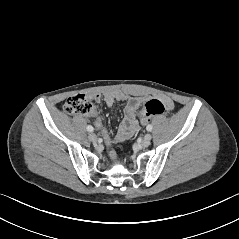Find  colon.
<instances>
[{
    "label": "colon",
    "instance_id": "5ec220e1",
    "mask_svg": "<svg viewBox=\"0 0 239 239\" xmlns=\"http://www.w3.org/2000/svg\"><path fill=\"white\" fill-rule=\"evenodd\" d=\"M93 104L90 99L83 94H76L67 99L64 110L68 114L87 115L93 111ZM164 104L157 99L147 101L140 109L139 115L142 123H147L152 117L163 114Z\"/></svg>",
    "mask_w": 239,
    "mask_h": 239
}]
</instances>
